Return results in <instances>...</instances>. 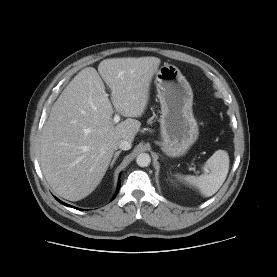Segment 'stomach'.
Returning <instances> with one entry per match:
<instances>
[{"label": "stomach", "instance_id": "0dacf381", "mask_svg": "<svg viewBox=\"0 0 277 277\" xmlns=\"http://www.w3.org/2000/svg\"><path fill=\"white\" fill-rule=\"evenodd\" d=\"M155 85L161 105L162 151L171 157L182 156L199 134L192 109V88L181 71L168 63L157 70Z\"/></svg>", "mask_w": 277, "mask_h": 277}]
</instances>
